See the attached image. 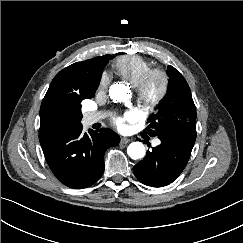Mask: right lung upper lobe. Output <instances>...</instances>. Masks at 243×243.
<instances>
[{
    "label": "right lung upper lobe",
    "instance_id": "obj_1",
    "mask_svg": "<svg viewBox=\"0 0 243 243\" xmlns=\"http://www.w3.org/2000/svg\"><path fill=\"white\" fill-rule=\"evenodd\" d=\"M105 58L76 62L53 78L40 107L39 134L81 125L77 106L94 96Z\"/></svg>",
    "mask_w": 243,
    "mask_h": 243
}]
</instances>
